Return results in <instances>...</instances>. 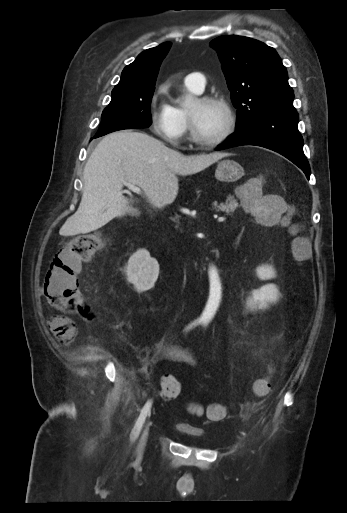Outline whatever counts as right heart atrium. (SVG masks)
<instances>
[{
  "instance_id": "obj_1",
  "label": "right heart atrium",
  "mask_w": 347,
  "mask_h": 513,
  "mask_svg": "<svg viewBox=\"0 0 347 513\" xmlns=\"http://www.w3.org/2000/svg\"><path fill=\"white\" fill-rule=\"evenodd\" d=\"M163 87H160L150 110L151 128L153 132L168 144L179 147L185 137L188 124L175 113L171 106L161 100Z\"/></svg>"
}]
</instances>
